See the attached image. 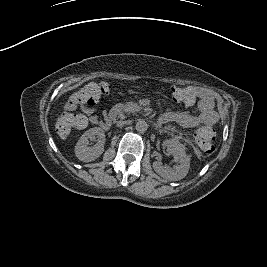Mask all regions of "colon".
Segmentation results:
<instances>
[{
  "label": "colon",
  "instance_id": "obj_1",
  "mask_svg": "<svg viewBox=\"0 0 267 267\" xmlns=\"http://www.w3.org/2000/svg\"><path fill=\"white\" fill-rule=\"evenodd\" d=\"M113 88L107 83H91L83 87L75 97L80 105H94L106 100ZM172 95L176 102L187 105L190 94L184 88L174 89ZM87 125L86 119L81 115L63 114L57 124L56 131L59 137L66 138L72 132L73 127L83 128ZM196 144L202 154L212 153L216 148V134L211 127H204L195 134Z\"/></svg>",
  "mask_w": 267,
  "mask_h": 267
}]
</instances>
